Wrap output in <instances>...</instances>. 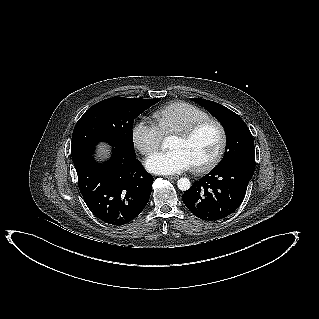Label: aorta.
Here are the masks:
<instances>
[{"mask_svg": "<svg viewBox=\"0 0 319 319\" xmlns=\"http://www.w3.org/2000/svg\"><path fill=\"white\" fill-rule=\"evenodd\" d=\"M163 148H166V145H164ZM177 186L180 190L186 191V190L190 189L191 182L188 178H180L177 181Z\"/></svg>", "mask_w": 319, "mask_h": 319, "instance_id": "1", "label": "aorta"}]
</instances>
